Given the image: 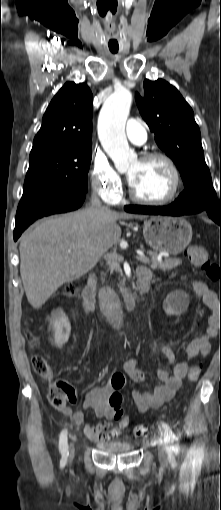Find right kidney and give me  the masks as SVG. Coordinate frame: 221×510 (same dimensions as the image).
<instances>
[{
    "label": "right kidney",
    "mask_w": 221,
    "mask_h": 510,
    "mask_svg": "<svg viewBox=\"0 0 221 510\" xmlns=\"http://www.w3.org/2000/svg\"><path fill=\"white\" fill-rule=\"evenodd\" d=\"M50 325L54 332L55 345L57 347H62L68 342L71 333V325L68 317L62 310H57Z\"/></svg>",
    "instance_id": "obj_1"
}]
</instances>
